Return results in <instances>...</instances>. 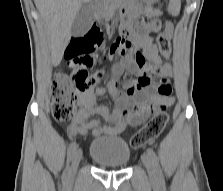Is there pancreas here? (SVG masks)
Masks as SVG:
<instances>
[{"label": "pancreas", "instance_id": "obj_1", "mask_svg": "<svg viewBox=\"0 0 223 191\" xmlns=\"http://www.w3.org/2000/svg\"><path fill=\"white\" fill-rule=\"evenodd\" d=\"M121 2L122 0H102L98 4V9L105 19H110Z\"/></svg>", "mask_w": 223, "mask_h": 191}]
</instances>
